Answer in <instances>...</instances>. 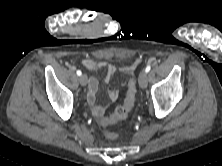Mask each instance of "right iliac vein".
<instances>
[{"mask_svg": "<svg viewBox=\"0 0 222 166\" xmlns=\"http://www.w3.org/2000/svg\"><path fill=\"white\" fill-rule=\"evenodd\" d=\"M79 82L82 86H86L87 82H88V78L85 74H82L80 77H79Z\"/></svg>", "mask_w": 222, "mask_h": 166, "instance_id": "right-iliac-vein-1", "label": "right iliac vein"}]
</instances>
